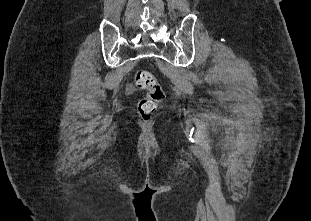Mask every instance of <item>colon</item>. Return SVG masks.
I'll return each mask as SVG.
<instances>
[{
	"label": "colon",
	"instance_id": "colon-1",
	"mask_svg": "<svg viewBox=\"0 0 311 221\" xmlns=\"http://www.w3.org/2000/svg\"><path fill=\"white\" fill-rule=\"evenodd\" d=\"M135 84L138 88L147 90V95L138 104V115L142 120H148L164 99V90L155 77L144 69H137Z\"/></svg>",
	"mask_w": 311,
	"mask_h": 221
}]
</instances>
